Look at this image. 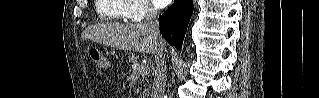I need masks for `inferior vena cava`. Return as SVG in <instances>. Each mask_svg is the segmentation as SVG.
I'll list each match as a JSON object with an SVG mask.
<instances>
[{
  "label": "inferior vena cava",
  "mask_w": 319,
  "mask_h": 98,
  "mask_svg": "<svg viewBox=\"0 0 319 98\" xmlns=\"http://www.w3.org/2000/svg\"><path fill=\"white\" fill-rule=\"evenodd\" d=\"M156 42L155 51V68L153 70L154 80L152 86L151 98H163L166 86V59H165V42L159 31L157 20V10L148 6L144 22L142 23Z\"/></svg>",
  "instance_id": "inferior-vena-cava-1"
}]
</instances>
